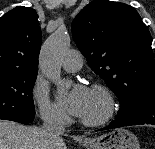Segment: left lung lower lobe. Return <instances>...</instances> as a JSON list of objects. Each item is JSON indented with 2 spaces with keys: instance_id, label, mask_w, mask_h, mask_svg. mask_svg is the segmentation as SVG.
<instances>
[{
  "instance_id": "obj_1",
  "label": "left lung lower lobe",
  "mask_w": 155,
  "mask_h": 149,
  "mask_svg": "<svg viewBox=\"0 0 155 149\" xmlns=\"http://www.w3.org/2000/svg\"><path fill=\"white\" fill-rule=\"evenodd\" d=\"M138 124L155 125V90L137 98L133 105L120 108L116 119L98 131Z\"/></svg>"
}]
</instances>
